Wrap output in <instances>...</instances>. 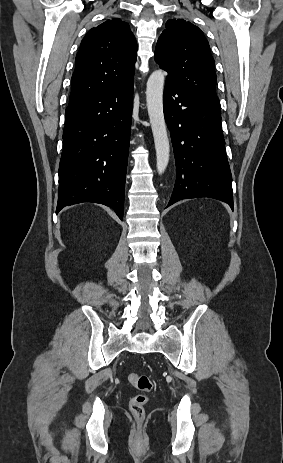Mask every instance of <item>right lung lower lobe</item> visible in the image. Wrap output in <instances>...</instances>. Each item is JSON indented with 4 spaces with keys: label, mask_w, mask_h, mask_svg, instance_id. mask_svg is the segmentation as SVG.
<instances>
[{
    "label": "right lung lower lobe",
    "mask_w": 283,
    "mask_h": 463,
    "mask_svg": "<svg viewBox=\"0 0 283 463\" xmlns=\"http://www.w3.org/2000/svg\"><path fill=\"white\" fill-rule=\"evenodd\" d=\"M132 102L133 81L69 103L56 213L95 202L113 208L123 220Z\"/></svg>",
    "instance_id": "right-lung-lower-lobe-1"
}]
</instances>
